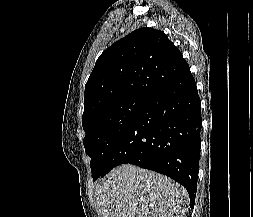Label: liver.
<instances>
[{
  "mask_svg": "<svg viewBox=\"0 0 253 217\" xmlns=\"http://www.w3.org/2000/svg\"><path fill=\"white\" fill-rule=\"evenodd\" d=\"M98 217H185L188 193L167 176L131 164L95 187Z\"/></svg>",
  "mask_w": 253,
  "mask_h": 217,
  "instance_id": "6515ba94",
  "label": "liver"
}]
</instances>
